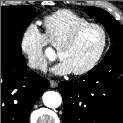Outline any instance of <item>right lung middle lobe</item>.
Masks as SVG:
<instances>
[{
    "label": "right lung middle lobe",
    "instance_id": "obj_1",
    "mask_svg": "<svg viewBox=\"0 0 123 123\" xmlns=\"http://www.w3.org/2000/svg\"><path fill=\"white\" fill-rule=\"evenodd\" d=\"M35 16L32 6L1 7V48L21 53L22 32Z\"/></svg>",
    "mask_w": 123,
    "mask_h": 123
}]
</instances>
